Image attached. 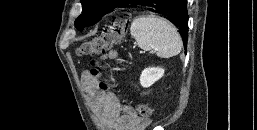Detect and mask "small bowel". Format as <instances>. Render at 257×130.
<instances>
[{
  "mask_svg": "<svg viewBox=\"0 0 257 130\" xmlns=\"http://www.w3.org/2000/svg\"><path fill=\"white\" fill-rule=\"evenodd\" d=\"M82 84L90 103L110 130H144L149 124L131 107L121 105L114 93L101 90L98 79L89 71L83 72Z\"/></svg>",
  "mask_w": 257,
  "mask_h": 130,
  "instance_id": "small-bowel-1",
  "label": "small bowel"
}]
</instances>
